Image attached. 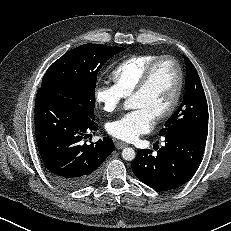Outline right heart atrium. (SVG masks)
Instances as JSON below:
<instances>
[{"label":"right heart atrium","instance_id":"obj_1","mask_svg":"<svg viewBox=\"0 0 231 231\" xmlns=\"http://www.w3.org/2000/svg\"><path fill=\"white\" fill-rule=\"evenodd\" d=\"M96 102L105 112L115 111L122 103L124 96L114 84H98L94 91Z\"/></svg>","mask_w":231,"mask_h":231}]
</instances>
